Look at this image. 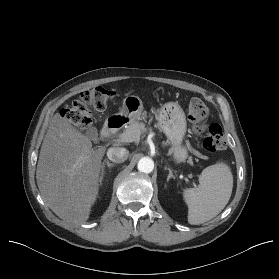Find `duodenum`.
<instances>
[{
  "label": "duodenum",
  "mask_w": 279,
  "mask_h": 279,
  "mask_svg": "<svg viewBox=\"0 0 279 279\" xmlns=\"http://www.w3.org/2000/svg\"><path fill=\"white\" fill-rule=\"evenodd\" d=\"M123 126V120L119 116L110 118L104 125L101 135L103 137H110Z\"/></svg>",
  "instance_id": "duodenum-1"
}]
</instances>
